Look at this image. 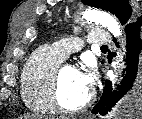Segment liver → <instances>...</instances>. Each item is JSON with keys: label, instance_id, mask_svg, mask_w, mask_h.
I'll list each match as a JSON object with an SVG mask.
<instances>
[{"label": "liver", "instance_id": "obj_1", "mask_svg": "<svg viewBox=\"0 0 142 119\" xmlns=\"http://www.w3.org/2000/svg\"><path fill=\"white\" fill-rule=\"evenodd\" d=\"M24 118H25V119H29V118H30V116H29V115H25V116H24ZM33 119H36V117H35V116H33Z\"/></svg>", "mask_w": 142, "mask_h": 119}]
</instances>
